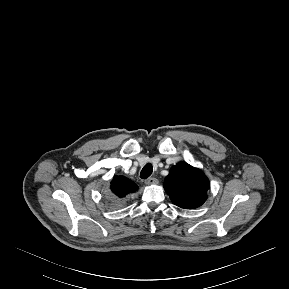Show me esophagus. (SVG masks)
<instances>
[{
    "mask_svg": "<svg viewBox=\"0 0 289 289\" xmlns=\"http://www.w3.org/2000/svg\"><path fill=\"white\" fill-rule=\"evenodd\" d=\"M158 183V180L154 177H149L148 179L145 180V184L147 185H152Z\"/></svg>",
    "mask_w": 289,
    "mask_h": 289,
    "instance_id": "34e87169",
    "label": "esophagus"
}]
</instances>
